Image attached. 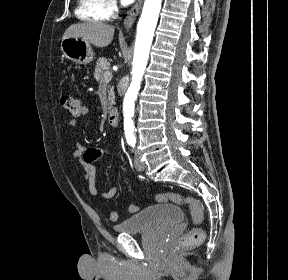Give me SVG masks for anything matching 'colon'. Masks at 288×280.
Listing matches in <instances>:
<instances>
[{"label": "colon", "mask_w": 288, "mask_h": 280, "mask_svg": "<svg viewBox=\"0 0 288 280\" xmlns=\"http://www.w3.org/2000/svg\"><path fill=\"white\" fill-rule=\"evenodd\" d=\"M61 104L71 116H81L82 105L78 98L70 94H64L61 97ZM155 199L159 203H176L182 205L190 211L193 218L194 226L182 237V246H195L200 244L204 240L205 233L201 227L204 221V211L198 201L191 197L183 196L178 193L158 194ZM138 209L139 207L136 204H131L129 206L130 212H136ZM109 218L112 221H116L118 219V213L116 211H111L109 214Z\"/></svg>", "instance_id": "obj_1"}]
</instances>
